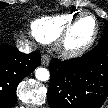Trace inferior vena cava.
Returning <instances> with one entry per match:
<instances>
[{
  "label": "inferior vena cava",
  "mask_w": 108,
  "mask_h": 108,
  "mask_svg": "<svg viewBox=\"0 0 108 108\" xmlns=\"http://www.w3.org/2000/svg\"><path fill=\"white\" fill-rule=\"evenodd\" d=\"M34 43L24 40V41H19L18 42V49L20 52L28 54L33 50Z\"/></svg>",
  "instance_id": "inferior-vena-cava-1"
}]
</instances>
